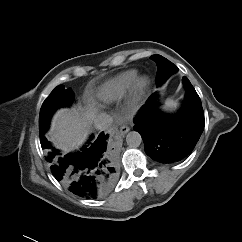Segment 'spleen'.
Here are the masks:
<instances>
[{
	"mask_svg": "<svg viewBox=\"0 0 242 242\" xmlns=\"http://www.w3.org/2000/svg\"><path fill=\"white\" fill-rule=\"evenodd\" d=\"M174 107H176V102L173 101L172 99L168 98V99L166 100V102H165V106H164V108H165V109H171V108H174Z\"/></svg>",
	"mask_w": 242,
	"mask_h": 242,
	"instance_id": "spleen-1",
	"label": "spleen"
}]
</instances>
